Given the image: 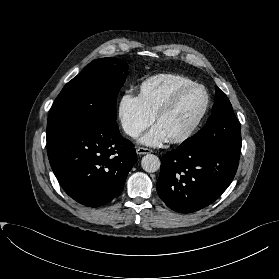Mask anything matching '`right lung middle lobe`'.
<instances>
[{"instance_id":"dd1d6c3e","label":"right lung middle lobe","mask_w":279,"mask_h":279,"mask_svg":"<svg viewBox=\"0 0 279 279\" xmlns=\"http://www.w3.org/2000/svg\"><path fill=\"white\" fill-rule=\"evenodd\" d=\"M128 70L122 59L101 58L69 81L52 105L47 142L87 125L116 123V100Z\"/></svg>"}]
</instances>
